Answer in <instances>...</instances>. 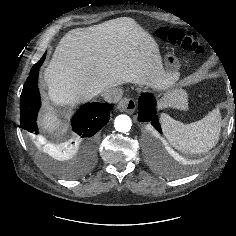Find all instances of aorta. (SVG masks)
I'll list each match as a JSON object with an SVG mask.
<instances>
[{
	"label": "aorta",
	"instance_id": "obj_1",
	"mask_svg": "<svg viewBox=\"0 0 236 236\" xmlns=\"http://www.w3.org/2000/svg\"><path fill=\"white\" fill-rule=\"evenodd\" d=\"M132 121L128 115H118L114 120V127L118 132L126 133L130 131Z\"/></svg>",
	"mask_w": 236,
	"mask_h": 236
}]
</instances>
